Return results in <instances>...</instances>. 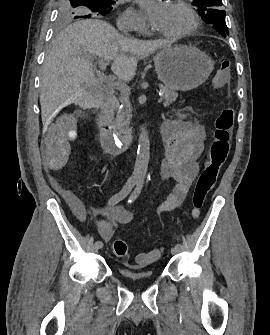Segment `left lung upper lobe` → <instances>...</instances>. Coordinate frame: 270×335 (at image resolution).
I'll return each instance as SVG.
<instances>
[{
	"label": "left lung upper lobe",
	"mask_w": 270,
	"mask_h": 335,
	"mask_svg": "<svg viewBox=\"0 0 270 335\" xmlns=\"http://www.w3.org/2000/svg\"><path fill=\"white\" fill-rule=\"evenodd\" d=\"M192 5L202 19L210 23L222 36L229 34L225 22V11L221 9L222 0H193Z\"/></svg>",
	"instance_id": "left-lung-upper-lobe-1"
}]
</instances>
